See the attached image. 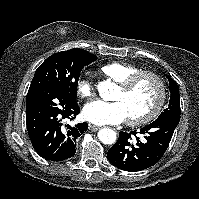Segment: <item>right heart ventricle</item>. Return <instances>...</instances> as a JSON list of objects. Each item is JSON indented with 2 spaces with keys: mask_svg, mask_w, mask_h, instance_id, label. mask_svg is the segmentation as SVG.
<instances>
[{
  "mask_svg": "<svg viewBox=\"0 0 199 199\" xmlns=\"http://www.w3.org/2000/svg\"><path fill=\"white\" fill-rule=\"evenodd\" d=\"M100 70L117 83H121L129 76L142 71V69L136 65L121 61L106 63L100 67Z\"/></svg>",
  "mask_w": 199,
  "mask_h": 199,
  "instance_id": "e07e8e85",
  "label": "right heart ventricle"
}]
</instances>
